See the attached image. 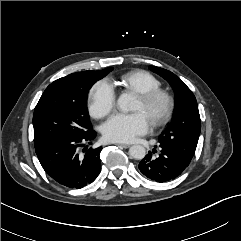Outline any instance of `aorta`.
Wrapping results in <instances>:
<instances>
[{
    "instance_id": "obj_1",
    "label": "aorta",
    "mask_w": 241,
    "mask_h": 241,
    "mask_svg": "<svg viewBox=\"0 0 241 241\" xmlns=\"http://www.w3.org/2000/svg\"><path fill=\"white\" fill-rule=\"evenodd\" d=\"M117 105L124 112L131 111L134 108V98L130 94L123 93L118 98ZM129 155L134 159L141 160L145 157L146 150L142 145H133L129 149Z\"/></svg>"
}]
</instances>
